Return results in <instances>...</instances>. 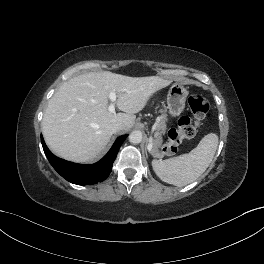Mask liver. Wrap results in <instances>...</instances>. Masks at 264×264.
Masks as SVG:
<instances>
[{
	"label": "liver",
	"instance_id": "liver-1",
	"mask_svg": "<svg viewBox=\"0 0 264 264\" xmlns=\"http://www.w3.org/2000/svg\"><path fill=\"white\" fill-rule=\"evenodd\" d=\"M171 80L159 76L129 77L112 72H89L62 84L50 99L42 120L46 144L57 156L85 163L96 159L110 141L112 126L123 131L134 124L135 114L149 98ZM117 94L116 106L108 110L109 93Z\"/></svg>",
	"mask_w": 264,
	"mask_h": 264
}]
</instances>
